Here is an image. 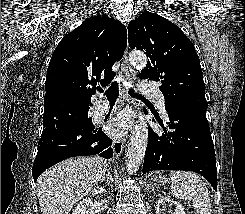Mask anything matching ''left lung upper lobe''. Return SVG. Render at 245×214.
Masks as SVG:
<instances>
[{"label":"left lung upper lobe","instance_id":"left-lung-upper-lobe-1","mask_svg":"<svg viewBox=\"0 0 245 214\" xmlns=\"http://www.w3.org/2000/svg\"><path fill=\"white\" fill-rule=\"evenodd\" d=\"M128 41L131 49L148 56L139 78L161 82L166 111L207 107L199 57L178 26L157 14L143 12L129 23Z\"/></svg>","mask_w":245,"mask_h":214}]
</instances>
